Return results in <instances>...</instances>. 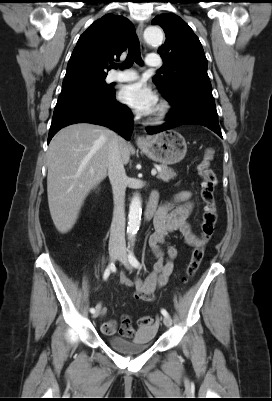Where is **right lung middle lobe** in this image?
<instances>
[{
	"label": "right lung middle lobe",
	"instance_id": "1",
	"mask_svg": "<svg viewBox=\"0 0 272 401\" xmlns=\"http://www.w3.org/2000/svg\"><path fill=\"white\" fill-rule=\"evenodd\" d=\"M113 92L114 89L110 88L105 80L62 90L55 108L82 100H104L112 95Z\"/></svg>",
	"mask_w": 272,
	"mask_h": 401
}]
</instances>
